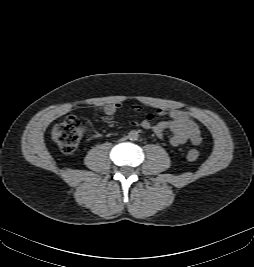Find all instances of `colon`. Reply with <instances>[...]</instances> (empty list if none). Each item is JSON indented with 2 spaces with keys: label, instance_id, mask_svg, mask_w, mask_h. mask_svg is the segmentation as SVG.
Wrapping results in <instances>:
<instances>
[{
  "label": "colon",
  "instance_id": "1",
  "mask_svg": "<svg viewBox=\"0 0 254 267\" xmlns=\"http://www.w3.org/2000/svg\"><path fill=\"white\" fill-rule=\"evenodd\" d=\"M83 133V128L79 120L75 117H68L62 122L55 124L51 131L52 139L58 144L64 153H72L76 150ZM199 151L191 149L187 153L190 161L199 158Z\"/></svg>",
  "mask_w": 254,
  "mask_h": 267
}]
</instances>
